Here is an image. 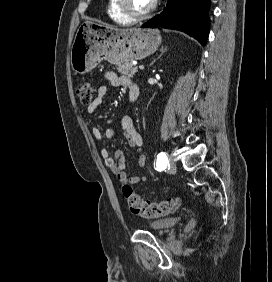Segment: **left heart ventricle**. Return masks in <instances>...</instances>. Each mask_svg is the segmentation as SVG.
Wrapping results in <instances>:
<instances>
[{"instance_id": "left-heart-ventricle-1", "label": "left heart ventricle", "mask_w": 272, "mask_h": 282, "mask_svg": "<svg viewBox=\"0 0 272 282\" xmlns=\"http://www.w3.org/2000/svg\"><path fill=\"white\" fill-rule=\"evenodd\" d=\"M154 0H129L131 7L137 13H144L149 10Z\"/></svg>"}]
</instances>
